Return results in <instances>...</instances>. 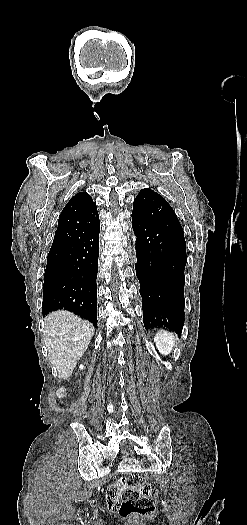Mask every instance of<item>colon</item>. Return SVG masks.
I'll return each mask as SVG.
<instances>
[{"label": "colon", "instance_id": "obj_1", "mask_svg": "<svg viewBox=\"0 0 247 525\" xmlns=\"http://www.w3.org/2000/svg\"><path fill=\"white\" fill-rule=\"evenodd\" d=\"M63 398L65 392L58 391ZM126 488L120 489V515L127 519L154 518L156 514L157 489L137 474H129L126 478Z\"/></svg>", "mask_w": 247, "mask_h": 525}]
</instances>
